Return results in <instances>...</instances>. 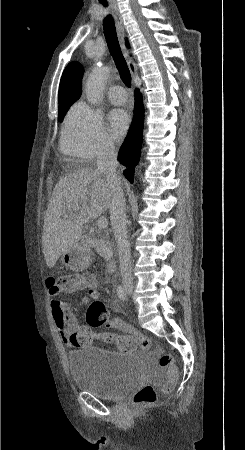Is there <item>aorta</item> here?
I'll return each mask as SVG.
<instances>
[{"label":"aorta","instance_id":"762f6f07","mask_svg":"<svg viewBox=\"0 0 245 450\" xmlns=\"http://www.w3.org/2000/svg\"><path fill=\"white\" fill-rule=\"evenodd\" d=\"M109 74L110 68L107 66H96L93 69L85 86V94L89 103L96 104L99 102Z\"/></svg>","mask_w":245,"mask_h":450}]
</instances>
